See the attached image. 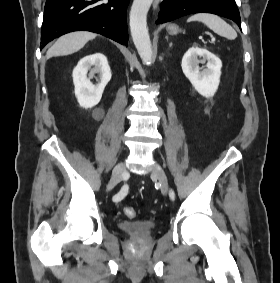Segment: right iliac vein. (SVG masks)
Wrapping results in <instances>:
<instances>
[{
  "instance_id": "obj_1",
  "label": "right iliac vein",
  "mask_w": 280,
  "mask_h": 283,
  "mask_svg": "<svg viewBox=\"0 0 280 283\" xmlns=\"http://www.w3.org/2000/svg\"><path fill=\"white\" fill-rule=\"evenodd\" d=\"M124 172H125L124 163L122 162L118 163L113 169L111 179L106 188L107 191L112 190L120 182Z\"/></svg>"
}]
</instances>
